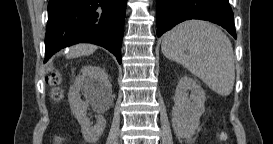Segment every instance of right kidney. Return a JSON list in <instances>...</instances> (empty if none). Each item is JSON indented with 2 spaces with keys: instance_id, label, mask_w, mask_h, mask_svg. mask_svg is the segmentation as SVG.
Segmentation results:
<instances>
[{
  "instance_id": "right-kidney-1",
  "label": "right kidney",
  "mask_w": 273,
  "mask_h": 144,
  "mask_svg": "<svg viewBox=\"0 0 273 144\" xmlns=\"http://www.w3.org/2000/svg\"><path fill=\"white\" fill-rule=\"evenodd\" d=\"M80 92H83L89 101L105 100L112 97L111 84L102 68L84 67L82 76L70 88L68 96L71 112L81 126L84 139L89 143H96L103 134L106 120L102 115H98L96 124L91 126L87 117L88 104L81 100Z\"/></svg>"
}]
</instances>
